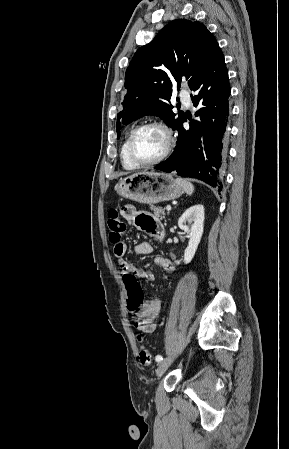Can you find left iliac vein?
Wrapping results in <instances>:
<instances>
[{
	"mask_svg": "<svg viewBox=\"0 0 289 449\" xmlns=\"http://www.w3.org/2000/svg\"><path fill=\"white\" fill-rule=\"evenodd\" d=\"M174 358H166L161 361L156 369V376L161 377L164 372L168 369V367L172 364Z\"/></svg>",
	"mask_w": 289,
	"mask_h": 449,
	"instance_id": "1",
	"label": "left iliac vein"
}]
</instances>
